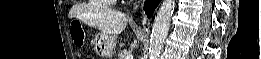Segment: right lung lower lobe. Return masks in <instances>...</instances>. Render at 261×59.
Returning <instances> with one entry per match:
<instances>
[{
	"instance_id": "98d812e1",
	"label": "right lung lower lobe",
	"mask_w": 261,
	"mask_h": 59,
	"mask_svg": "<svg viewBox=\"0 0 261 59\" xmlns=\"http://www.w3.org/2000/svg\"><path fill=\"white\" fill-rule=\"evenodd\" d=\"M159 2H160V0H146L144 9H145L148 17L151 16V14L153 13L154 9L157 7Z\"/></svg>"
}]
</instances>
